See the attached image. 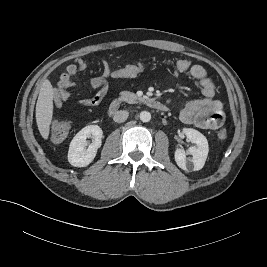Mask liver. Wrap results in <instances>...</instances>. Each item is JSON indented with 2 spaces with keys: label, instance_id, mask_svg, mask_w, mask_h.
<instances>
[{
  "label": "liver",
  "instance_id": "6515ba94",
  "mask_svg": "<svg viewBox=\"0 0 267 267\" xmlns=\"http://www.w3.org/2000/svg\"><path fill=\"white\" fill-rule=\"evenodd\" d=\"M55 97L52 84L45 80L41 86L36 104V122L41 136L47 140L53 117V99Z\"/></svg>",
  "mask_w": 267,
  "mask_h": 267
}]
</instances>
